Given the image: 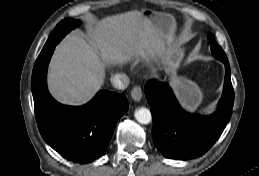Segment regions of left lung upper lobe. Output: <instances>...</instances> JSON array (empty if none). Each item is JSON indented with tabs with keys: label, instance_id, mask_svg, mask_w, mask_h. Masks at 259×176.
<instances>
[{
	"label": "left lung upper lobe",
	"instance_id": "obj_1",
	"mask_svg": "<svg viewBox=\"0 0 259 176\" xmlns=\"http://www.w3.org/2000/svg\"><path fill=\"white\" fill-rule=\"evenodd\" d=\"M209 43L212 45V50L215 53V57L221 61L227 60L226 54L221 48V46L217 45L213 35L208 37Z\"/></svg>",
	"mask_w": 259,
	"mask_h": 176
}]
</instances>
